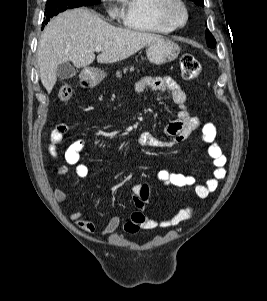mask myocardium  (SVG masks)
Segmentation results:
<instances>
[{
	"label": "myocardium",
	"mask_w": 267,
	"mask_h": 301,
	"mask_svg": "<svg viewBox=\"0 0 267 301\" xmlns=\"http://www.w3.org/2000/svg\"><path fill=\"white\" fill-rule=\"evenodd\" d=\"M159 14L173 28L184 27L189 17L188 8L183 0H162Z\"/></svg>",
	"instance_id": "f54148a6"
}]
</instances>
